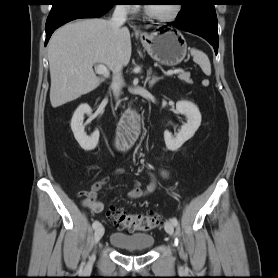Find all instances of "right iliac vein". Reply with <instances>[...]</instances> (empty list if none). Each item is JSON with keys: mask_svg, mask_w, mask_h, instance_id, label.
Instances as JSON below:
<instances>
[{"mask_svg": "<svg viewBox=\"0 0 278 278\" xmlns=\"http://www.w3.org/2000/svg\"><path fill=\"white\" fill-rule=\"evenodd\" d=\"M103 235H104V227L102 225H99L94 232V243L97 244L101 240ZM94 259H95V255L93 254L90 257L89 265L93 263Z\"/></svg>", "mask_w": 278, "mask_h": 278, "instance_id": "1", "label": "right iliac vein"}]
</instances>
